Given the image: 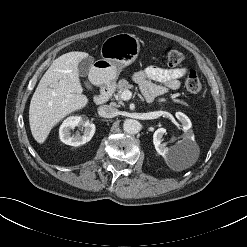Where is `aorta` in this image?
Masks as SVG:
<instances>
[{
  "label": "aorta",
  "instance_id": "obj_1",
  "mask_svg": "<svg viewBox=\"0 0 247 247\" xmlns=\"http://www.w3.org/2000/svg\"><path fill=\"white\" fill-rule=\"evenodd\" d=\"M123 130L128 134H137L141 130V124L134 119H127L123 123Z\"/></svg>",
  "mask_w": 247,
  "mask_h": 247
}]
</instances>
